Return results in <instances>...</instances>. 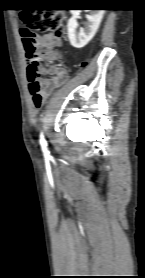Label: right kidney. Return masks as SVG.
Masks as SVG:
<instances>
[{
  "label": "right kidney",
  "instance_id": "1",
  "mask_svg": "<svg viewBox=\"0 0 145 278\" xmlns=\"http://www.w3.org/2000/svg\"><path fill=\"white\" fill-rule=\"evenodd\" d=\"M87 11L89 12L86 15L87 22L79 31L77 19L80 18L81 10H71L72 17L68 20V38L70 44L77 49L83 48L94 37L105 12V10Z\"/></svg>",
  "mask_w": 145,
  "mask_h": 278
}]
</instances>
